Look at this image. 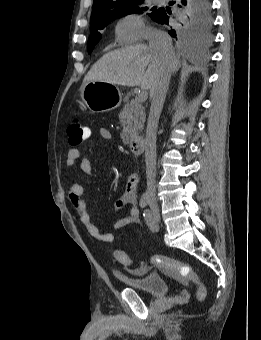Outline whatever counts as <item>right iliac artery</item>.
<instances>
[{
	"instance_id": "82829eb1",
	"label": "right iliac artery",
	"mask_w": 261,
	"mask_h": 340,
	"mask_svg": "<svg viewBox=\"0 0 261 340\" xmlns=\"http://www.w3.org/2000/svg\"><path fill=\"white\" fill-rule=\"evenodd\" d=\"M140 207L141 208H144V207H146L147 206V204H148V196L146 195V194H143L142 196H141V198H140Z\"/></svg>"
}]
</instances>
